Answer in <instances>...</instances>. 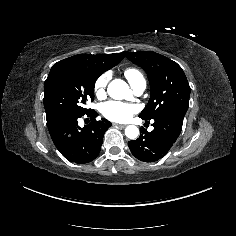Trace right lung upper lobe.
<instances>
[{
    "instance_id": "right-lung-upper-lobe-1",
    "label": "right lung upper lobe",
    "mask_w": 236,
    "mask_h": 236,
    "mask_svg": "<svg viewBox=\"0 0 236 236\" xmlns=\"http://www.w3.org/2000/svg\"><path fill=\"white\" fill-rule=\"evenodd\" d=\"M123 53H116V54H108V55H91V54H79L67 58L66 60L70 61H92L99 64L104 72L115 65H117L123 58Z\"/></svg>"
}]
</instances>
